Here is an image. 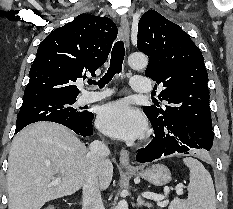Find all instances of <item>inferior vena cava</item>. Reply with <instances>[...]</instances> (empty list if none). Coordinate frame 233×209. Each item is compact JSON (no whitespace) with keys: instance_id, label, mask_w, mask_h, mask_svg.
<instances>
[{"instance_id":"inferior-vena-cava-1","label":"inferior vena cava","mask_w":233,"mask_h":209,"mask_svg":"<svg viewBox=\"0 0 233 209\" xmlns=\"http://www.w3.org/2000/svg\"><path fill=\"white\" fill-rule=\"evenodd\" d=\"M109 153L108 147L101 141H93L89 146L87 158L90 163V168L83 184L82 209H104L95 173L97 166L107 160Z\"/></svg>"}]
</instances>
